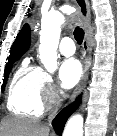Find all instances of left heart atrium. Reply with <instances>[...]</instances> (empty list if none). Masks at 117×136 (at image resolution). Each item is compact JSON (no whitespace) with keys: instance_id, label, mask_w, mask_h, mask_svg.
Returning a JSON list of instances; mask_svg holds the SVG:
<instances>
[{"instance_id":"obj_1","label":"left heart atrium","mask_w":117,"mask_h":136,"mask_svg":"<svg viewBox=\"0 0 117 136\" xmlns=\"http://www.w3.org/2000/svg\"><path fill=\"white\" fill-rule=\"evenodd\" d=\"M82 76V67L80 62L75 58H67L62 61L58 77L64 88H71L75 86Z\"/></svg>"}]
</instances>
